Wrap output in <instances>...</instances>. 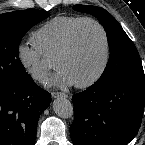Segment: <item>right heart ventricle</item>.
Returning <instances> with one entry per match:
<instances>
[{"mask_svg":"<svg viewBox=\"0 0 145 145\" xmlns=\"http://www.w3.org/2000/svg\"><path fill=\"white\" fill-rule=\"evenodd\" d=\"M82 18L72 15L54 17L32 34L31 41L47 59L54 60L70 30Z\"/></svg>","mask_w":145,"mask_h":145,"instance_id":"1","label":"right heart ventricle"}]
</instances>
